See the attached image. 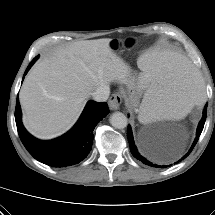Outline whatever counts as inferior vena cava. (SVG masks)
Segmentation results:
<instances>
[{
  "mask_svg": "<svg viewBox=\"0 0 215 215\" xmlns=\"http://www.w3.org/2000/svg\"><path fill=\"white\" fill-rule=\"evenodd\" d=\"M110 95L109 86L98 87L94 92L91 93L93 100L97 102H105Z\"/></svg>",
  "mask_w": 215,
  "mask_h": 215,
  "instance_id": "1",
  "label": "inferior vena cava"
}]
</instances>
